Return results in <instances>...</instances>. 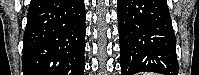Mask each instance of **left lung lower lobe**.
I'll return each instance as SVG.
<instances>
[{"mask_svg":"<svg viewBox=\"0 0 199 75\" xmlns=\"http://www.w3.org/2000/svg\"><path fill=\"white\" fill-rule=\"evenodd\" d=\"M121 75H178L176 37L166 0H118Z\"/></svg>","mask_w":199,"mask_h":75,"instance_id":"obj_1","label":"left lung lower lobe"}]
</instances>
